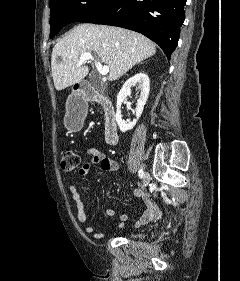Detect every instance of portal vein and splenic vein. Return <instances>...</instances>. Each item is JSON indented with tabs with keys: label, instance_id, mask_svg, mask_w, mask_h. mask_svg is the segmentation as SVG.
<instances>
[{
	"label": "portal vein and splenic vein",
	"instance_id": "obj_1",
	"mask_svg": "<svg viewBox=\"0 0 240 281\" xmlns=\"http://www.w3.org/2000/svg\"><path fill=\"white\" fill-rule=\"evenodd\" d=\"M87 61H93L95 64V67L97 69V71L101 74V75H107L109 72V67L108 66H102V64L95 59L91 53H83L81 54L80 58H79V62H78V66L82 65L83 63L87 62Z\"/></svg>",
	"mask_w": 240,
	"mask_h": 281
}]
</instances>
